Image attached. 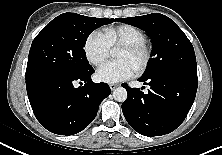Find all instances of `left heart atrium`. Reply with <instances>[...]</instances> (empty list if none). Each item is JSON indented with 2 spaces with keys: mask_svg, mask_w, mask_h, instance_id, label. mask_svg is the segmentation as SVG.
I'll return each instance as SVG.
<instances>
[{
  "mask_svg": "<svg viewBox=\"0 0 222 155\" xmlns=\"http://www.w3.org/2000/svg\"><path fill=\"white\" fill-rule=\"evenodd\" d=\"M135 69L126 61L108 62L102 65L96 76L98 80L106 83H117L131 78Z\"/></svg>",
  "mask_w": 222,
  "mask_h": 155,
  "instance_id": "39dd6f15",
  "label": "left heart atrium"
}]
</instances>
